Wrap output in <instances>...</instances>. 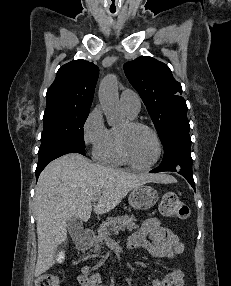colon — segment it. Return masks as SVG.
<instances>
[{"mask_svg":"<svg viewBox=\"0 0 231 286\" xmlns=\"http://www.w3.org/2000/svg\"><path fill=\"white\" fill-rule=\"evenodd\" d=\"M160 210L166 217L186 219L189 216L188 207L174 192L163 195ZM36 286H60V281L54 274H43L37 279Z\"/></svg>","mask_w":231,"mask_h":286,"instance_id":"5ec220e1","label":"colon"}]
</instances>
